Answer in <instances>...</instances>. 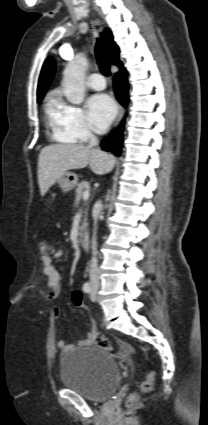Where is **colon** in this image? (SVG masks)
Returning a JSON list of instances; mask_svg holds the SVG:
<instances>
[{"label":"colon","mask_w":208,"mask_h":425,"mask_svg":"<svg viewBox=\"0 0 208 425\" xmlns=\"http://www.w3.org/2000/svg\"><path fill=\"white\" fill-rule=\"evenodd\" d=\"M38 250L42 255H50L54 252V248L48 244L45 241H42L38 244ZM82 294L78 291H75L72 294V302L74 304V306L76 307H81L82 306ZM90 335L92 338V341L100 348L113 352L115 350V347L113 345V343L106 338L103 334H101L100 332H98L93 326L91 327L90 330ZM154 380H155V372L154 371H150L145 379L143 380V382L140 385L139 391L140 392H147L149 390H151L153 384H154ZM138 392H135L133 394H131L127 401H126V406L127 407H131L133 406L137 399H138Z\"/></svg>","instance_id":"colon-1"}]
</instances>
